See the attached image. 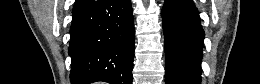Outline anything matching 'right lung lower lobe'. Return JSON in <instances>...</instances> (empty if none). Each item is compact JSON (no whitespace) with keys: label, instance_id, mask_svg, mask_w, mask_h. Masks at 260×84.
<instances>
[{"label":"right lung lower lobe","instance_id":"1","mask_svg":"<svg viewBox=\"0 0 260 84\" xmlns=\"http://www.w3.org/2000/svg\"><path fill=\"white\" fill-rule=\"evenodd\" d=\"M70 35L72 84H132L134 23L130 0H76Z\"/></svg>","mask_w":260,"mask_h":84}]
</instances>
